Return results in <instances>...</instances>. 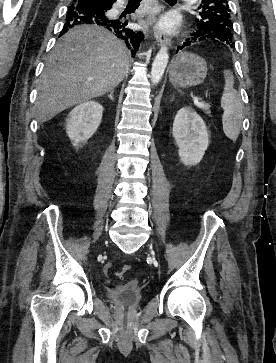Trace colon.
<instances>
[{
  "instance_id": "obj_1",
  "label": "colon",
  "mask_w": 276,
  "mask_h": 363,
  "mask_svg": "<svg viewBox=\"0 0 276 363\" xmlns=\"http://www.w3.org/2000/svg\"><path fill=\"white\" fill-rule=\"evenodd\" d=\"M130 270V266L129 265H126L123 267V269L121 270L120 274H124L126 272H128Z\"/></svg>"
}]
</instances>
